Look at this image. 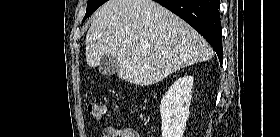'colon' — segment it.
I'll return each instance as SVG.
<instances>
[{
    "label": "colon",
    "instance_id": "colon-1",
    "mask_svg": "<svg viewBox=\"0 0 280 137\" xmlns=\"http://www.w3.org/2000/svg\"><path fill=\"white\" fill-rule=\"evenodd\" d=\"M88 112L94 119L101 121L106 115V106L102 102H90L88 104Z\"/></svg>",
    "mask_w": 280,
    "mask_h": 137
}]
</instances>
